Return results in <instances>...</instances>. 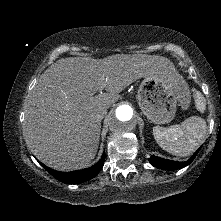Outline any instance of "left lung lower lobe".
I'll use <instances>...</instances> for the list:
<instances>
[{
  "mask_svg": "<svg viewBox=\"0 0 221 221\" xmlns=\"http://www.w3.org/2000/svg\"><path fill=\"white\" fill-rule=\"evenodd\" d=\"M199 150H200V148L194 153V155L188 161H185V162L171 161V160L159 158L156 156H151L149 158V162L153 166L160 168V169L177 170V169H181V168L189 165L194 160V158L198 154Z\"/></svg>",
  "mask_w": 221,
  "mask_h": 221,
  "instance_id": "1",
  "label": "left lung lower lobe"
}]
</instances>
